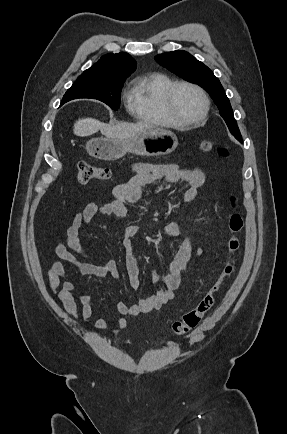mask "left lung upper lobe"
Instances as JSON below:
<instances>
[{
	"instance_id": "left-lung-upper-lobe-1",
	"label": "left lung upper lobe",
	"mask_w": 287,
	"mask_h": 434,
	"mask_svg": "<svg viewBox=\"0 0 287 434\" xmlns=\"http://www.w3.org/2000/svg\"><path fill=\"white\" fill-rule=\"evenodd\" d=\"M155 60L177 76L193 82L206 90L220 110L230 132L237 140L242 137L234 118L232 108L223 87L213 72L202 62L183 50L167 52L155 56Z\"/></svg>"
}]
</instances>
